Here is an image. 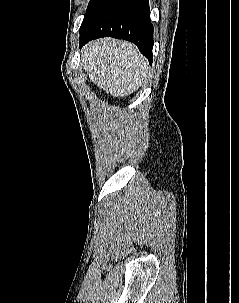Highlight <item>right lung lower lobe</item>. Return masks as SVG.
Here are the masks:
<instances>
[{
    "instance_id": "98d812e1",
    "label": "right lung lower lobe",
    "mask_w": 239,
    "mask_h": 303,
    "mask_svg": "<svg viewBox=\"0 0 239 303\" xmlns=\"http://www.w3.org/2000/svg\"><path fill=\"white\" fill-rule=\"evenodd\" d=\"M105 36L133 42L152 63L153 25L148 0H108L80 31V47Z\"/></svg>"
}]
</instances>
